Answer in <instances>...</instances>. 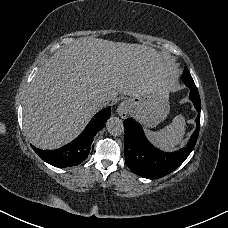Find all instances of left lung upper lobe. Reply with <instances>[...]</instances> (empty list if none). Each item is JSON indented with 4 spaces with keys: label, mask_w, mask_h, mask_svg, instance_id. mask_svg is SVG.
<instances>
[{
    "label": "left lung upper lobe",
    "mask_w": 228,
    "mask_h": 228,
    "mask_svg": "<svg viewBox=\"0 0 228 228\" xmlns=\"http://www.w3.org/2000/svg\"><path fill=\"white\" fill-rule=\"evenodd\" d=\"M187 75H190V73H189L188 69L185 68L184 73H183V75H182V79H183L185 76H187Z\"/></svg>",
    "instance_id": "5c2ea615"
}]
</instances>
